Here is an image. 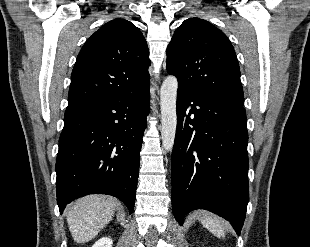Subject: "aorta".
Listing matches in <instances>:
<instances>
[{
  "instance_id": "762f6f07",
  "label": "aorta",
  "mask_w": 310,
  "mask_h": 247,
  "mask_svg": "<svg viewBox=\"0 0 310 247\" xmlns=\"http://www.w3.org/2000/svg\"><path fill=\"white\" fill-rule=\"evenodd\" d=\"M177 89H178V81L176 77L168 76L163 81L160 91L162 147L167 152L172 151L176 134Z\"/></svg>"
}]
</instances>
